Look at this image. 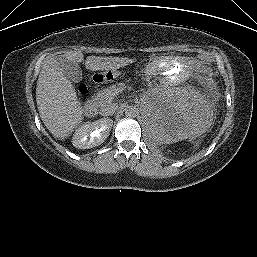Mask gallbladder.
<instances>
[{
    "label": "gallbladder",
    "instance_id": "gallbladder-1",
    "mask_svg": "<svg viewBox=\"0 0 257 257\" xmlns=\"http://www.w3.org/2000/svg\"><path fill=\"white\" fill-rule=\"evenodd\" d=\"M56 59L61 71L68 80L72 82L81 81L82 70L78 65L74 64L73 62H69L63 55H57Z\"/></svg>",
    "mask_w": 257,
    "mask_h": 257
}]
</instances>
